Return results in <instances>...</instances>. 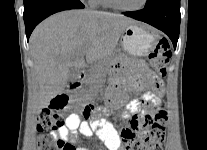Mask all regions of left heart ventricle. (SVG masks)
Returning a JSON list of instances; mask_svg holds the SVG:
<instances>
[{"label":"left heart ventricle","instance_id":"b2bd125f","mask_svg":"<svg viewBox=\"0 0 207 150\" xmlns=\"http://www.w3.org/2000/svg\"><path fill=\"white\" fill-rule=\"evenodd\" d=\"M120 5L126 8H135L141 5L143 0H117Z\"/></svg>","mask_w":207,"mask_h":150}]
</instances>
